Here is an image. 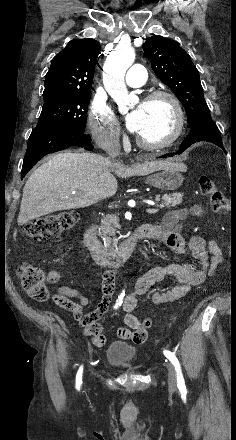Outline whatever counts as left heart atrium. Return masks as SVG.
Masks as SVG:
<instances>
[{
    "label": "left heart atrium",
    "instance_id": "obj_1",
    "mask_svg": "<svg viewBox=\"0 0 236 440\" xmlns=\"http://www.w3.org/2000/svg\"><path fill=\"white\" fill-rule=\"evenodd\" d=\"M144 120L142 105L136 107L127 117V128L132 133H137Z\"/></svg>",
    "mask_w": 236,
    "mask_h": 440
}]
</instances>
